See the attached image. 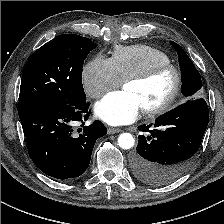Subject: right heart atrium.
Returning <instances> with one entry per match:
<instances>
[{
	"label": "right heart atrium",
	"instance_id": "d8ad5b80",
	"mask_svg": "<svg viewBox=\"0 0 224 224\" xmlns=\"http://www.w3.org/2000/svg\"><path fill=\"white\" fill-rule=\"evenodd\" d=\"M111 58L95 56L83 68L82 84L86 93L92 98H99L107 91L121 85Z\"/></svg>",
	"mask_w": 224,
	"mask_h": 224
}]
</instances>
